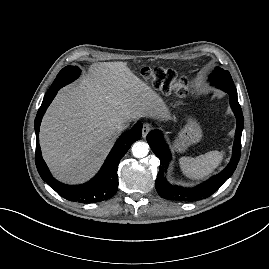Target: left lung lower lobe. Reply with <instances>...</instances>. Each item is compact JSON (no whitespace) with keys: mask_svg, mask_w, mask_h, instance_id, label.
<instances>
[{"mask_svg":"<svg viewBox=\"0 0 269 269\" xmlns=\"http://www.w3.org/2000/svg\"><path fill=\"white\" fill-rule=\"evenodd\" d=\"M224 91L230 95V105L237 119L233 154L228 166L221 173L213 176L208 181L194 188H183L169 184L164 177L165 171L171 159L169 148L163 139L161 131L152 130L147 135L146 139L152 151L160 159L159 173L155 182V187L161 197L167 200L191 202L205 199L216 192L235 171L237 163L240 159L241 134L244 120L241 107L238 103L237 93L233 92V90L229 88Z\"/></svg>","mask_w":269,"mask_h":269,"instance_id":"left-lung-lower-lobe-1","label":"left lung lower lobe"}]
</instances>
